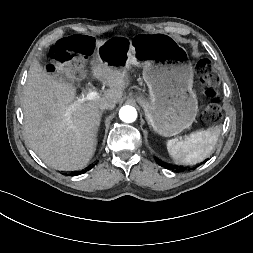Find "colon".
<instances>
[{
    "mask_svg": "<svg viewBox=\"0 0 253 253\" xmlns=\"http://www.w3.org/2000/svg\"><path fill=\"white\" fill-rule=\"evenodd\" d=\"M93 51L92 38L84 35H74L61 39L53 50V58L57 64L64 67L74 65L78 68L83 61ZM200 75V83L208 103L202 113V118L206 123H215L221 117V107L217 99V88L220 79L217 74L211 72L210 64L207 60H200L197 64Z\"/></svg>",
    "mask_w": 253,
    "mask_h": 253,
    "instance_id": "obj_1",
    "label": "colon"
}]
</instances>
